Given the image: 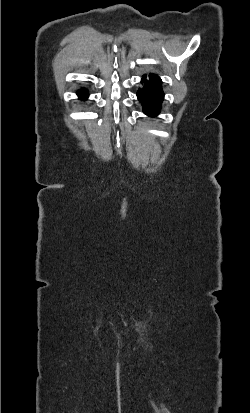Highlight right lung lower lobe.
Returning a JSON list of instances; mask_svg holds the SVG:
<instances>
[{
    "label": "right lung lower lobe",
    "mask_w": 250,
    "mask_h": 413,
    "mask_svg": "<svg viewBox=\"0 0 250 413\" xmlns=\"http://www.w3.org/2000/svg\"><path fill=\"white\" fill-rule=\"evenodd\" d=\"M80 99L85 100L88 97V91L85 89H81L77 92Z\"/></svg>",
    "instance_id": "1"
}]
</instances>
